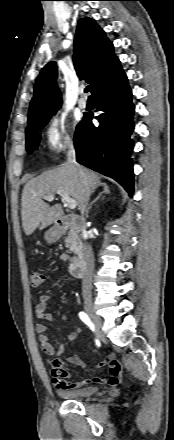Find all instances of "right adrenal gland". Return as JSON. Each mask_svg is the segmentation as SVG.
I'll return each instance as SVG.
<instances>
[{
    "instance_id": "obj_1",
    "label": "right adrenal gland",
    "mask_w": 174,
    "mask_h": 440,
    "mask_svg": "<svg viewBox=\"0 0 174 440\" xmlns=\"http://www.w3.org/2000/svg\"><path fill=\"white\" fill-rule=\"evenodd\" d=\"M100 186L102 187L103 191L101 193H99V195L91 202L87 214L89 213V210L92 208V206L102 197L103 194H109L110 190L109 187L106 183H102L100 184Z\"/></svg>"
}]
</instances>
